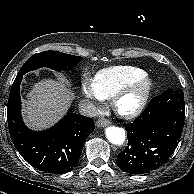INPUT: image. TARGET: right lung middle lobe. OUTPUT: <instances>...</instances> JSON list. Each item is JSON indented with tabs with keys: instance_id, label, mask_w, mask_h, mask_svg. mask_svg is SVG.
<instances>
[{
	"instance_id": "1",
	"label": "right lung middle lobe",
	"mask_w": 194,
	"mask_h": 194,
	"mask_svg": "<svg viewBox=\"0 0 194 194\" xmlns=\"http://www.w3.org/2000/svg\"><path fill=\"white\" fill-rule=\"evenodd\" d=\"M81 59L82 57L80 56H73L58 51H44L31 56L21 67L18 74L24 75L40 67H49L57 71L71 69L77 65Z\"/></svg>"
}]
</instances>
